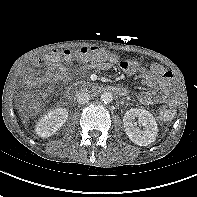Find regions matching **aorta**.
Here are the masks:
<instances>
[{
    "label": "aorta",
    "instance_id": "762f6f07",
    "mask_svg": "<svg viewBox=\"0 0 197 197\" xmlns=\"http://www.w3.org/2000/svg\"><path fill=\"white\" fill-rule=\"evenodd\" d=\"M113 100L112 93L110 92H104L101 94V101L105 104L111 103Z\"/></svg>",
    "mask_w": 197,
    "mask_h": 197
}]
</instances>
